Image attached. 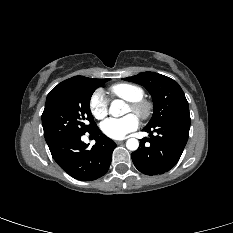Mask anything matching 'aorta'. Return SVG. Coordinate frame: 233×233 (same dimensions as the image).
<instances>
[{
	"mask_svg": "<svg viewBox=\"0 0 233 233\" xmlns=\"http://www.w3.org/2000/svg\"><path fill=\"white\" fill-rule=\"evenodd\" d=\"M122 108L123 102L121 100H114L109 108V113L114 117L122 116L124 114ZM126 147L131 151H135L139 147V141L135 138H130L126 142Z\"/></svg>",
	"mask_w": 233,
	"mask_h": 233,
	"instance_id": "aorta-1",
	"label": "aorta"
}]
</instances>
